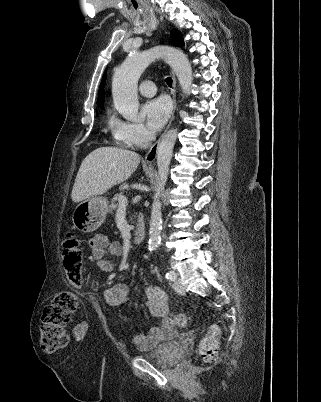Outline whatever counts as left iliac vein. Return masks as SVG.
Segmentation results:
<instances>
[{
  "label": "left iliac vein",
  "mask_w": 321,
  "mask_h": 402,
  "mask_svg": "<svg viewBox=\"0 0 321 402\" xmlns=\"http://www.w3.org/2000/svg\"><path fill=\"white\" fill-rule=\"evenodd\" d=\"M172 286H173V289L177 293H179V294H184L185 293V289H184V286L182 285L181 279L176 275V273H175V279H174V282H173Z\"/></svg>",
  "instance_id": "obj_1"
}]
</instances>
